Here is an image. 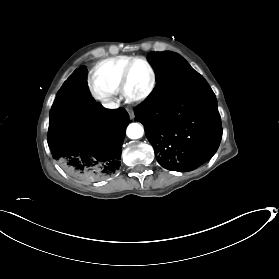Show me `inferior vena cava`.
I'll return each mask as SVG.
<instances>
[{
	"label": "inferior vena cava",
	"mask_w": 279,
	"mask_h": 279,
	"mask_svg": "<svg viewBox=\"0 0 279 279\" xmlns=\"http://www.w3.org/2000/svg\"><path fill=\"white\" fill-rule=\"evenodd\" d=\"M111 99H105L104 101H106L105 104H103L104 107L106 108H110V109H115V108H118L119 106V102L117 101V103L113 102V101H109Z\"/></svg>",
	"instance_id": "inferior-vena-cava-1"
}]
</instances>
